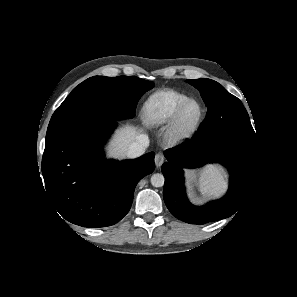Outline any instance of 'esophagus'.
Returning <instances> with one entry per match:
<instances>
[{"mask_svg": "<svg viewBox=\"0 0 297 297\" xmlns=\"http://www.w3.org/2000/svg\"><path fill=\"white\" fill-rule=\"evenodd\" d=\"M165 162V157L162 154H156L155 156V165L160 167Z\"/></svg>", "mask_w": 297, "mask_h": 297, "instance_id": "1", "label": "esophagus"}]
</instances>
